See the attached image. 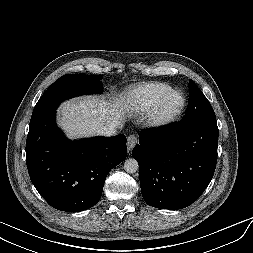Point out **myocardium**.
<instances>
[{
    "instance_id": "f54148a6",
    "label": "myocardium",
    "mask_w": 253,
    "mask_h": 253,
    "mask_svg": "<svg viewBox=\"0 0 253 253\" xmlns=\"http://www.w3.org/2000/svg\"><path fill=\"white\" fill-rule=\"evenodd\" d=\"M173 94H179L181 97V104L180 106L171 113H163L162 107L165 101ZM186 107V96L185 94L179 89H170L169 91L165 92L163 95L159 97L156 101L154 106L148 113L147 116V124L153 128H163L178 119V117L183 113Z\"/></svg>"
}]
</instances>
